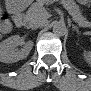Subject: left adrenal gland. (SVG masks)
<instances>
[{"label": "left adrenal gland", "mask_w": 91, "mask_h": 91, "mask_svg": "<svg viewBox=\"0 0 91 91\" xmlns=\"http://www.w3.org/2000/svg\"><path fill=\"white\" fill-rule=\"evenodd\" d=\"M72 28L78 33L79 32V30H78V27L77 26H75V25H72Z\"/></svg>", "instance_id": "left-adrenal-gland-1"}]
</instances>
